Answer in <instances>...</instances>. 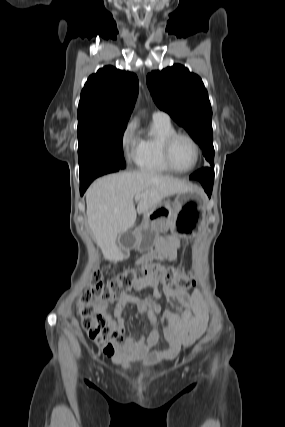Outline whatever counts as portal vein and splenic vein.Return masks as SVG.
Here are the masks:
<instances>
[{
  "label": "portal vein and splenic vein",
  "mask_w": 285,
  "mask_h": 427,
  "mask_svg": "<svg viewBox=\"0 0 285 427\" xmlns=\"http://www.w3.org/2000/svg\"><path fill=\"white\" fill-rule=\"evenodd\" d=\"M135 201L137 202V201H139L140 200V196H135Z\"/></svg>",
  "instance_id": "18ae733b"
}]
</instances>
